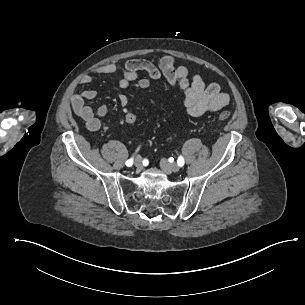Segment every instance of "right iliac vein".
<instances>
[{
  "label": "right iliac vein",
  "mask_w": 305,
  "mask_h": 305,
  "mask_svg": "<svg viewBox=\"0 0 305 305\" xmlns=\"http://www.w3.org/2000/svg\"><path fill=\"white\" fill-rule=\"evenodd\" d=\"M134 164L138 170L141 169L142 168V159L139 156H137L134 160Z\"/></svg>",
  "instance_id": "1"
}]
</instances>
